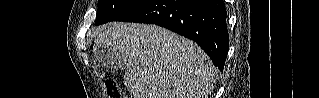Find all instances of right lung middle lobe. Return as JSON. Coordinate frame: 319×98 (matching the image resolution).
Wrapping results in <instances>:
<instances>
[{
	"instance_id": "obj_1",
	"label": "right lung middle lobe",
	"mask_w": 319,
	"mask_h": 98,
	"mask_svg": "<svg viewBox=\"0 0 319 98\" xmlns=\"http://www.w3.org/2000/svg\"><path fill=\"white\" fill-rule=\"evenodd\" d=\"M146 0H98L95 24L113 21L134 10Z\"/></svg>"
}]
</instances>
